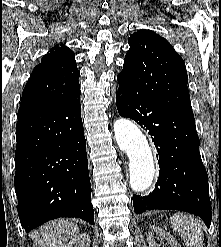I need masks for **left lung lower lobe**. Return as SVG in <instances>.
Listing matches in <instances>:
<instances>
[{
  "mask_svg": "<svg viewBox=\"0 0 221 247\" xmlns=\"http://www.w3.org/2000/svg\"><path fill=\"white\" fill-rule=\"evenodd\" d=\"M116 103L122 117L136 121L146 129L157 148L159 177L148 196L133 195L136 214L146 210H181L200 216L211 224L208 175L202 163L195 119L140 97L119 75Z\"/></svg>",
  "mask_w": 221,
  "mask_h": 247,
  "instance_id": "left-lung-lower-lobe-1",
  "label": "left lung lower lobe"
}]
</instances>
